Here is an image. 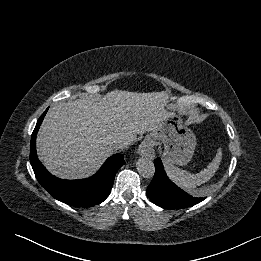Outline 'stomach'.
<instances>
[{
    "mask_svg": "<svg viewBox=\"0 0 261 261\" xmlns=\"http://www.w3.org/2000/svg\"><path fill=\"white\" fill-rule=\"evenodd\" d=\"M146 140L163 143L164 160L180 166L190 162L196 147L193 131L176 112H168L167 117L146 137Z\"/></svg>",
    "mask_w": 261,
    "mask_h": 261,
    "instance_id": "stomach-1",
    "label": "stomach"
}]
</instances>
